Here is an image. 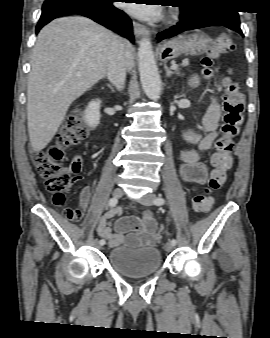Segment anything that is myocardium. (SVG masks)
Returning <instances> with one entry per match:
<instances>
[{"label": "myocardium", "mask_w": 270, "mask_h": 338, "mask_svg": "<svg viewBox=\"0 0 270 338\" xmlns=\"http://www.w3.org/2000/svg\"><path fill=\"white\" fill-rule=\"evenodd\" d=\"M171 14H176V10H172V11H171Z\"/></svg>", "instance_id": "myocardium-1"}]
</instances>
